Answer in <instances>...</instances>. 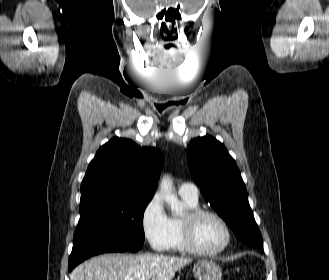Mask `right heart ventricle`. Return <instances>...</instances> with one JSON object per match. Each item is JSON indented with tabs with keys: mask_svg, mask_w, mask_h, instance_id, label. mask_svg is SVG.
I'll return each instance as SVG.
<instances>
[{
	"mask_svg": "<svg viewBox=\"0 0 329 280\" xmlns=\"http://www.w3.org/2000/svg\"><path fill=\"white\" fill-rule=\"evenodd\" d=\"M181 197L187 209H193L198 207V200H192L182 195ZM170 224H171V241L168 249L176 252L186 251L181 236V218L176 216L171 217Z\"/></svg>",
	"mask_w": 329,
	"mask_h": 280,
	"instance_id": "obj_1",
	"label": "right heart ventricle"
}]
</instances>
